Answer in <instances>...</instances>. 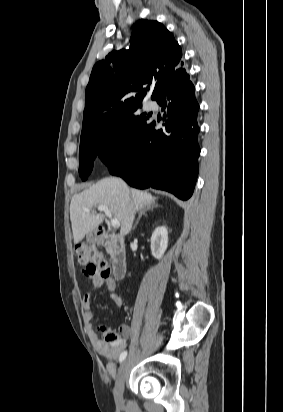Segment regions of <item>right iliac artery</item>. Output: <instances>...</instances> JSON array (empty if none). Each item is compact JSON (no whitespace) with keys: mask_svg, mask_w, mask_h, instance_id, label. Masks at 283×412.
I'll return each instance as SVG.
<instances>
[{"mask_svg":"<svg viewBox=\"0 0 283 412\" xmlns=\"http://www.w3.org/2000/svg\"><path fill=\"white\" fill-rule=\"evenodd\" d=\"M126 356H127V351L122 352V354L120 355V358H119L120 363H121L122 361H124V359L126 358Z\"/></svg>","mask_w":283,"mask_h":412,"instance_id":"82829eb1","label":"right iliac artery"}]
</instances>
